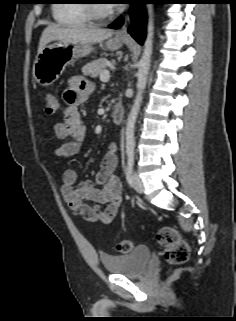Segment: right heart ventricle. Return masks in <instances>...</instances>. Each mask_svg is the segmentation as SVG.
I'll list each match as a JSON object with an SVG mask.
<instances>
[{
  "label": "right heart ventricle",
  "mask_w": 236,
  "mask_h": 321,
  "mask_svg": "<svg viewBox=\"0 0 236 321\" xmlns=\"http://www.w3.org/2000/svg\"><path fill=\"white\" fill-rule=\"evenodd\" d=\"M84 0H60L53 7L54 20L63 26H81L89 22Z\"/></svg>",
  "instance_id": "e07e8e85"
}]
</instances>
